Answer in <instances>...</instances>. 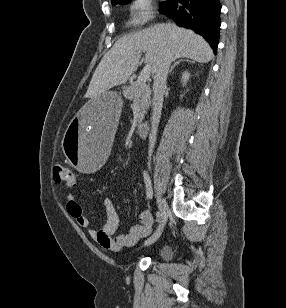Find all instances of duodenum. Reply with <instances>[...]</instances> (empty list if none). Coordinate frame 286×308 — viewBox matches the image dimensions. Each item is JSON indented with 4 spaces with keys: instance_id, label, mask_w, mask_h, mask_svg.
<instances>
[{
    "instance_id": "1",
    "label": "duodenum",
    "mask_w": 286,
    "mask_h": 308,
    "mask_svg": "<svg viewBox=\"0 0 286 308\" xmlns=\"http://www.w3.org/2000/svg\"><path fill=\"white\" fill-rule=\"evenodd\" d=\"M148 129H149V124H148V122H146V121L140 122V123L137 125V134H138L140 137H145V136L147 135Z\"/></svg>"
}]
</instances>
